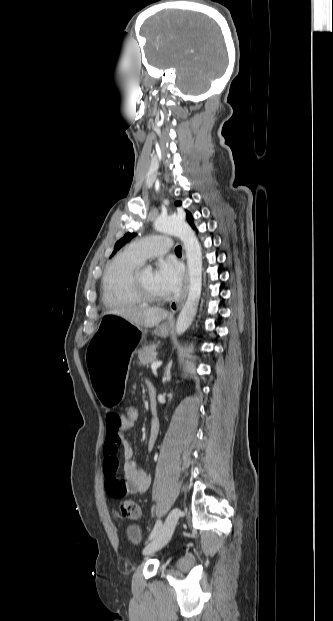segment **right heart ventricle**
<instances>
[{
  "label": "right heart ventricle",
  "mask_w": 333,
  "mask_h": 621,
  "mask_svg": "<svg viewBox=\"0 0 333 621\" xmlns=\"http://www.w3.org/2000/svg\"><path fill=\"white\" fill-rule=\"evenodd\" d=\"M140 262L124 252L115 257L106 269L102 280V298L108 307L133 306L142 302L130 288L131 277Z\"/></svg>",
  "instance_id": "e07e8e85"
}]
</instances>
